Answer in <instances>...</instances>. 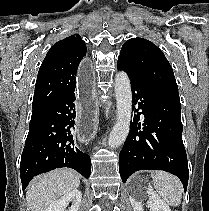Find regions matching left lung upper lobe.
Returning <instances> with one entry per match:
<instances>
[{
  "label": "left lung upper lobe",
  "instance_id": "5c2ea615",
  "mask_svg": "<svg viewBox=\"0 0 209 211\" xmlns=\"http://www.w3.org/2000/svg\"><path fill=\"white\" fill-rule=\"evenodd\" d=\"M118 61L152 87L178 95L172 67L152 42L143 38L129 39L123 44Z\"/></svg>",
  "mask_w": 209,
  "mask_h": 211
}]
</instances>
